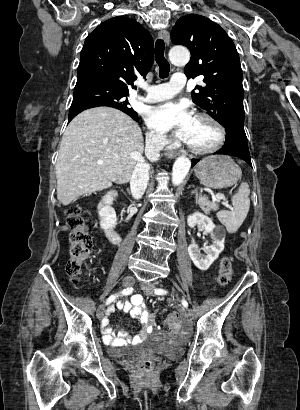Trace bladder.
<instances>
[{
    "mask_svg": "<svg viewBox=\"0 0 300 410\" xmlns=\"http://www.w3.org/2000/svg\"><path fill=\"white\" fill-rule=\"evenodd\" d=\"M183 343H179V342H168V341H164L158 344H154V345H150L148 348V351L150 352H160V353H164L167 354L169 356H180L183 353ZM117 352H123L125 351V348H115V347H111L110 351H109V355L113 356L115 355V353Z\"/></svg>",
    "mask_w": 300,
    "mask_h": 410,
    "instance_id": "obj_1",
    "label": "bladder"
}]
</instances>
